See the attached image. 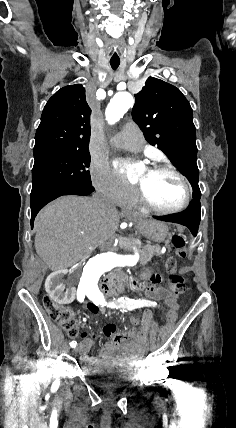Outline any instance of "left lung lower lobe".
Wrapping results in <instances>:
<instances>
[{
    "label": "left lung lower lobe",
    "mask_w": 236,
    "mask_h": 428,
    "mask_svg": "<svg viewBox=\"0 0 236 428\" xmlns=\"http://www.w3.org/2000/svg\"><path fill=\"white\" fill-rule=\"evenodd\" d=\"M193 199L190 202V205L188 208L175 215H169V216H154V218L162 221L167 222H173V223H179L182 225L187 226L191 233L196 236L200 219H201V205H200V198H201V192L193 193Z\"/></svg>",
    "instance_id": "1"
}]
</instances>
